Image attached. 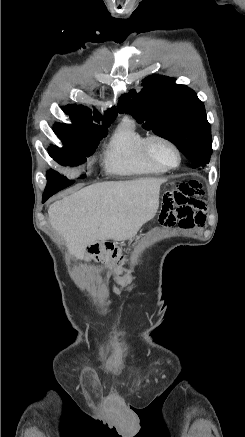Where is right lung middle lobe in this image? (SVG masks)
<instances>
[{"label": "right lung middle lobe", "mask_w": 245, "mask_h": 437, "mask_svg": "<svg viewBox=\"0 0 245 437\" xmlns=\"http://www.w3.org/2000/svg\"><path fill=\"white\" fill-rule=\"evenodd\" d=\"M108 126H89L75 122L73 124L57 123L53 131L62 141L64 147L50 146L48 149L49 155L62 166H77L83 163L86 157L94 153L99 141L106 136ZM46 178L47 183L57 181L74 183L73 180H67L65 176L54 170L48 171Z\"/></svg>", "instance_id": "right-lung-middle-lobe-1"}]
</instances>
